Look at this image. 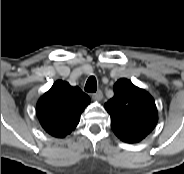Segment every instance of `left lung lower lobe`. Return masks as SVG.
Returning <instances> with one entry per match:
<instances>
[{
    "instance_id": "0a47b994",
    "label": "left lung lower lobe",
    "mask_w": 184,
    "mask_h": 174,
    "mask_svg": "<svg viewBox=\"0 0 184 174\" xmlns=\"http://www.w3.org/2000/svg\"><path fill=\"white\" fill-rule=\"evenodd\" d=\"M122 141L127 142V143H136V141H133V140H130V139L122 140Z\"/></svg>"
}]
</instances>
